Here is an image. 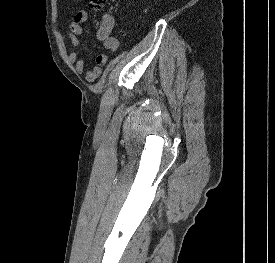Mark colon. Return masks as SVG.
<instances>
[{
  "label": "colon",
  "mask_w": 275,
  "mask_h": 263,
  "mask_svg": "<svg viewBox=\"0 0 275 263\" xmlns=\"http://www.w3.org/2000/svg\"><path fill=\"white\" fill-rule=\"evenodd\" d=\"M105 2L106 0H89V5L93 10H100Z\"/></svg>",
  "instance_id": "obj_1"
}]
</instances>
